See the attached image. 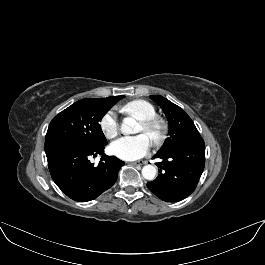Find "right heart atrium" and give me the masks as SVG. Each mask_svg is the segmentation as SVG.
<instances>
[{"label":"right heart atrium","instance_id":"obj_1","mask_svg":"<svg viewBox=\"0 0 265 265\" xmlns=\"http://www.w3.org/2000/svg\"><path fill=\"white\" fill-rule=\"evenodd\" d=\"M100 127L106 138H115L119 133V121L117 112L113 109L105 112L100 119Z\"/></svg>","mask_w":265,"mask_h":265}]
</instances>
